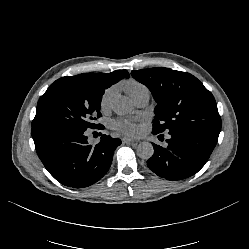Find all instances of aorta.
<instances>
[{"instance_id":"762f6f07","label":"aorta","mask_w":249,"mask_h":249,"mask_svg":"<svg viewBox=\"0 0 249 249\" xmlns=\"http://www.w3.org/2000/svg\"><path fill=\"white\" fill-rule=\"evenodd\" d=\"M111 107L113 111L118 115L129 114L133 109L131 101L125 96H116L111 103ZM153 154L154 148L151 143L141 142L137 146V155L141 159H150Z\"/></svg>"}]
</instances>
